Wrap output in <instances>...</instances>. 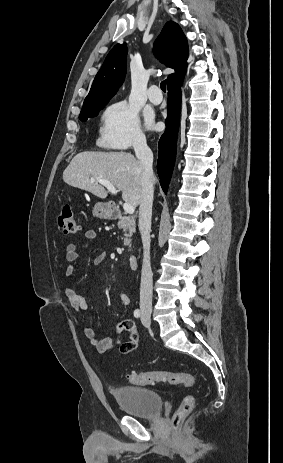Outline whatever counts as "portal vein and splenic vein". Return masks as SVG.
<instances>
[{"label":"portal vein and splenic vein","instance_id":"obj_1","mask_svg":"<svg viewBox=\"0 0 283 463\" xmlns=\"http://www.w3.org/2000/svg\"><path fill=\"white\" fill-rule=\"evenodd\" d=\"M91 180L93 182H97L103 186H105L109 192H111L112 194L116 195L118 193V191L116 190V188L114 187V185L112 183H110L109 181L107 180H104V179H96V178H91ZM123 209L126 213L128 214H133L134 211H135V207L130 204V203H127L125 202L123 204Z\"/></svg>","mask_w":283,"mask_h":463}]
</instances>
